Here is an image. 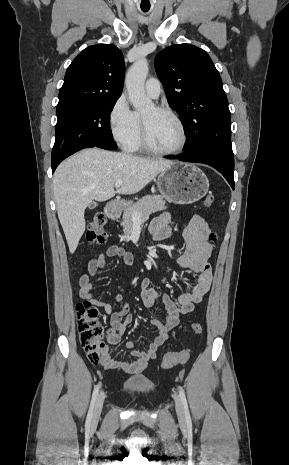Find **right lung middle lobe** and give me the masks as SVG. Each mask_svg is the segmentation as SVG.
Returning <instances> with one entry per match:
<instances>
[{
  "label": "right lung middle lobe",
  "instance_id": "obj_1",
  "mask_svg": "<svg viewBox=\"0 0 289 465\" xmlns=\"http://www.w3.org/2000/svg\"><path fill=\"white\" fill-rule=\"evenodd\" d=\"M116 101L112 99L57 108L52 163L62 161L86 147L116 149L109 124V114Z\"/></svg>",
  "mask_w": 289,
  "mask_h": 465
}]
</instances>
